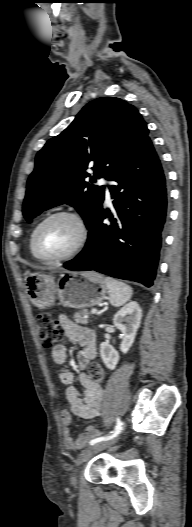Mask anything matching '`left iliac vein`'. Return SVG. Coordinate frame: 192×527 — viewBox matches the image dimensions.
<instances>
[{
  "label": "left iliac vein",
  "instance_id": "1",
  "mask_svg": "<svg viewBox=\"0 0 192 527\" xmlns=\"http://www.w3.org/2000/svg\"><path fill=\"white\" fill-rule=\"evenodd\" d=\"M118 439H119V437H117V438H115L113 440H110V441L99 442V443H96V444L88 447L87 449H85V450H83L81 452V454L79 455L76 463L79 465L82 462L87 461L93 455H95V454L101 452L102 450H104V449L110 447L111 445H113ZM72 483L74 485L76 484V478L75 477L72 478Z\"/></svg>",
  "mask_w": 192,
  "mask_h": 527
}]
</instances>
